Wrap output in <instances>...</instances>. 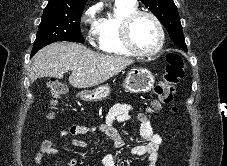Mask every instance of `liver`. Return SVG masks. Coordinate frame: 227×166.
I'll return each instance as SVG.
<instances>
[{
  "mask_svg": "<svg viewBox=\"0 0 227 166\" xmlns=\"http://www.w3.org/2000/svg\"><path fill=\"white\" fill-rule=\"evenodd\" d=\"M133 63L130 58L97 53L78 43L56 42L35 54L29 77L31 82L41 77L61 79L72 71L70 85L83 89L104 83Z\"/></svg>",
  "mask_w": 227,
  "mask_h": 166,
  "instance_id": "6515ba94",
  "label": "liver"
}]
</instances>
